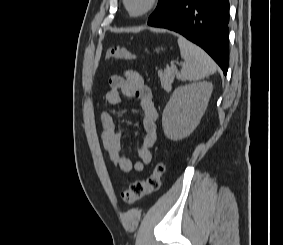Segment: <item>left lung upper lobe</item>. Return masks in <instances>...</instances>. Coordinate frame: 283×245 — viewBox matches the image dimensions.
Masks as SVG:
<instances>
[{
	"label": "left lung upper lobe",
	"instance_id": "left-lung-upper-lobe-1",
	"mask_svg": "<svg viewBox=\"0 0 283 245\" xmlns=\"http://www.w3.org/2000/svg\"><path fill=\"white\" fill-rule=\"evenodd\" d=\"M173 0H159L156 10L151 14L149 20H152L159 14H161L171 3Z\"/></svg>",
	"mask_w": 283,
	"mask_h": 245
}]
</instances>
